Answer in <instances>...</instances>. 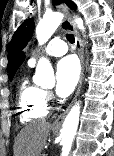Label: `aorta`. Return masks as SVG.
<instances>
[{
  "instance_id": "762f6f07",
  "label": "aorta",
  "mask_w": 114,
  "mask_h": 156,
  "mask_svg": "<svg viewBox=\"0 0 114 156\" xmlns=\"http://www.w3.org/2000/svg\"><path fill=\"white\" fill-rule=\"evenodd\" d=\"M63 15L61 13H52L46 15L36 27V36L39 44H44L49 40L55 30L58 28L62 21ZM75 23L77 27L84 31L85 27L81 18L76 17ZM36 84H49L55 81L53 69L50 62L41 58L36 67V74L34 79ZM80 116V104L76 103L68 115L66 116L63 127L61 130L62 135V154L61 156H69L72 142L76 134V130L79 123Z\"/></svg>"
}]
</instances>
